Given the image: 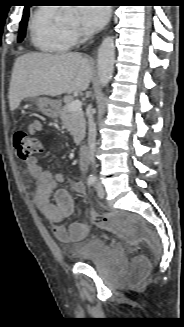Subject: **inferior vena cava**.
Instances as JSON below:
<instances>
[{
  "instance_id": "inferior-vena-cava-1",
  "label": "inferior vena cava",
  "mask_w": 184,
  "mask_h": 327,
  "mask_svg": "<svg viewBox=\"0 0 184 327\" xmlns=\"http://www.w3.org/2000/svg\"><path fill=\"white\" fill-rule=\"evenodd\" d=\"M96 124L92 113L88 114V147L90 162L95 164V146H96Z\"/></svg>"
}]
</instances>
